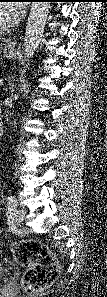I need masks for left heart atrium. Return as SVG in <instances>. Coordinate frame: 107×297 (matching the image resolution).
Instances as JSON below:
<instances>
[{
  "instance_id": "obj_1",
  "label": "left heart atrium",
  "mask_w": 107,
  "mask_h": 297,
  "mask_svg": "<svg viewBox=\"0 0 107 297\" xmlns=\"http://www.w3.org/2000/svg\"><path fill=\"white\" fill-rule=\"evenodd\" d=\"M24 12L22 4L13 5L9 11L11 21L18 20Z\"/></svg>"
}]
</instances>
